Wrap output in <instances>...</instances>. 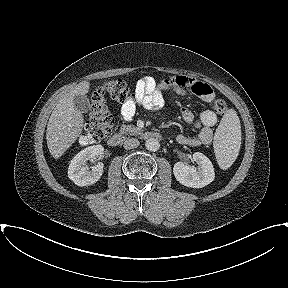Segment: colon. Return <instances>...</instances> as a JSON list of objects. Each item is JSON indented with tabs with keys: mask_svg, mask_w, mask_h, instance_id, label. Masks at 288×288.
<instances>
[{
	"mask_svg": "<svg viewBox=\"0 0 288 288\" xmlns=\"http://www.w3.org/2000/svg\"><path fill=\"white\" fill-rule=\"evenodd\" d=\"M107 97L120 104L135 99V95L131 93L122 79L114 78L97 88L91 95V118L86 123L81 136V140L85 144L99 143L109 134L112 116L106 105ZM213 109L219 114H224L227 111V105L222 99H216L213 102Z\"/></svg>",
	"mask_w": 288,
	"mask_h": 288,
	"instance_id": "obj_1",
	"label": "colon"
}]
</instances>
